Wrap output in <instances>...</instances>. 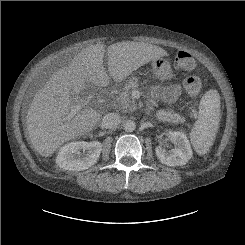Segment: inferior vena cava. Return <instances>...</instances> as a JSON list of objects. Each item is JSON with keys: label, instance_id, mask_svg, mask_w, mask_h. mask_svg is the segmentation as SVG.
<instances>
[{"label": "inferior vena cava", "instance_id": "inferior-vena-cava-1", "mask_svg": "<svg viewBox=\"0 0 245 245\" xmlns=\"http://www.w3.org/2000/svg\"><path fill=\"white\" fill-rule=\"evenodd\" d=\"M102 121L106 128H115L120 124L121 118L118 113H108L103 117Z\"/></svg>", "mask_w": 245, "mask_h": 245}]
</instances>
